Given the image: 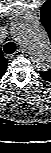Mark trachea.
Instances as JSON below:
<instances>
[{"label":"trachea","mask_w":51,"mask_h":153,"mask_svg":"<svg viewBox=\"0 0 51 153\" xmlns=\"http://www.w3.org/2000/svg\"><path fill=\"white\" fill-rule=\"evenodd\" d=\"M17 49V46L14 42H8L4 45V52L6 54H13Z\"/></svg>","instance_id":"obj_1"}]
</instances>
